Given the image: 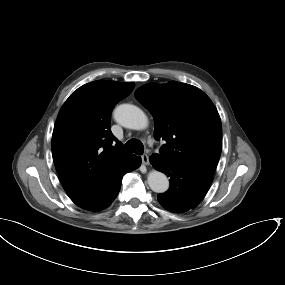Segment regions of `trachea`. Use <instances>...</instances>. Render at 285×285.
<instances>
[{
	"instance_id": "trachea-1",
	"label": "trachea",
	"mask_w": 285,
	"mask_h": 285,
	"mask_svg": "<svg viewBox=\"0 0 285 285\" xmlns=\"http://www.w3.org/2000/svg\"><path fill=\"white\" fill-rule=\"evenodd\" d=\"M123 151L141 155L144 152V146L139 140L131 139L124 145Z\"/></svg>"
}]
</instances>
